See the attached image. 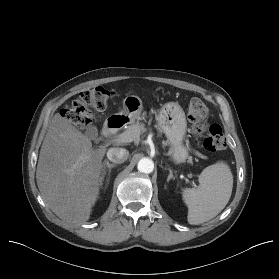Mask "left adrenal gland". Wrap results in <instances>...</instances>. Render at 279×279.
I'll return each instance as SVG.
<instances>
[{
    "label": "left adrenal gland",
    "instance_id": "a2214340",
    "mask_svg": "<svg viewBox=\"0 0 279 279\" xmlns=\"http://www.w3.org/2000/svg\"><path fill=\"white\" fill-rule=\"evenodd\" d=\"M168 171H169V175L167 177V182H169L171 179H174L172 170L168 168Z\"/></svg>",
    "mask_w": 279,
    "mask_h": 279
}]
</instances>
